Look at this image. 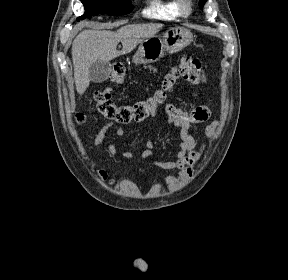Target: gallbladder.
<instances>
[{
  "label": "gallbladder",
  "instance_id": "obj_1",
  "mask_svg": "<svg viewBox=\"0 0 288 280\" xmlns=\"http://www.w3.org/2000/svg\"><path fill=\"white\" fill-rule=\"evenodd\" d=\"M111 72L110 62L98 60L90 66L89 78L96 83L104 82L109 78Z\"/></svg>",
  "mask_w": 288,
  "mask_h": 280
}]
</instances>
